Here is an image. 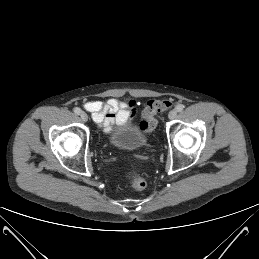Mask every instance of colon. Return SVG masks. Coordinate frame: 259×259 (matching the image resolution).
<instances>
[{
	"label": "colon",
	"mask_w": 259,
	"mask_h": 259,
	"mask_svg": "<svg viewBox=\"0 0 259 259\" xmlns=\"http://www.w3.org/2000/svg\"><path fill=\"white\" fill-rule=\"evenodd\" d=\"M172 105L173 103L170 99H153L148 101L142 113L143 119L140 122V129L144 133H151L157 125L156 115L169 109ZM126 179L135 190H143L146 186L145 180L132 171L126 173Z\"/></svg>",
	"instance_id": "colon-1"
}]
</instances>
